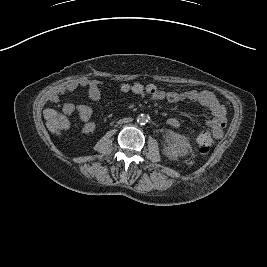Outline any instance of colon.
<instances>
[{"instance_id": "colon-1", "label": "colon", "mask_w": 267, "mask_h": 267, "mask_svg": "<svg viewBox=\"0 0 267 267\" xmlns=\"http://www.w3.org/2000/svg\"><path fill=\"white\" fill-rule=\"evenodd\" d=\"M123 91H129L132 90L137 93L146 94L149 96L159 95L160 90L156 86L148 85V86H142L139 84H135L133 86H123ZM46 122L51 132L55 134H63L66 132L70 127V121L69 119L62 115L57 113L54 110H47L46 111ZM196 147L197 151L200 154H207L211 149V142L209 141L208 137L205 135H198L196 140Z\"/></svg>"}]
</instances>
